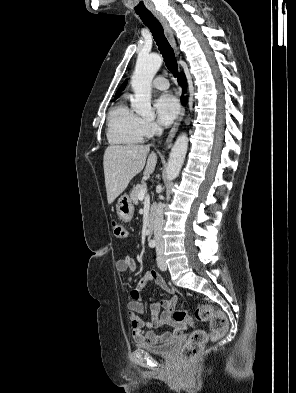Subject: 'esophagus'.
Here are the masks:
<instances>
[{
    "label": "esophagus",
    "instance_id": "obj_1",
    "mask_svg": "<svg viewBox=\"0 0 296 393\" xmlns=\"http://www.w3.org/2000/svg\"><path fill=\"white\" fill-rule=\"evenodd\" d=\"M151 12L154 15V17L162 24V26L164 28V31H165V35H166L170 45L172 46L176 57L179 58L180 51H179V48H178V46L176 44V41H175V38H174V35H173V31L170 28L167 20L165 19V17L160 12H158L156 10H151ZM184 114H185V108L182 107L177 121L175 122L173 128L170 130V132H169V134L167 136L166 144L170 143L173 140V138L175 136V133L177 131V128H178L181 120L184 117Z\"/></svg>",
    "mask_w": 296,
    "mask_h": 393
}]
</instances>
